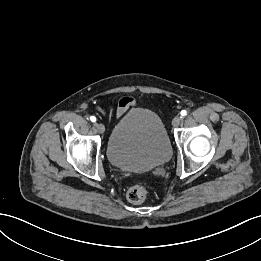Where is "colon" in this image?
<instances>
[{
	"instance_id": "1",
	"label": "colon",
	"mask_w": 261,
	"mask_h": 261,
	"mask_svg": "<svg viewBox=\"0 0 261 261\" xmlns=\"http://www.w3.org/2000/svg\"><path fill=\"white\" fill-rule=\"evenodd\" d=\"M148 192L145 185L135 184L128 189L127 198L132 203H142L146 199Z\"/></svg>"
}]
</instances>
